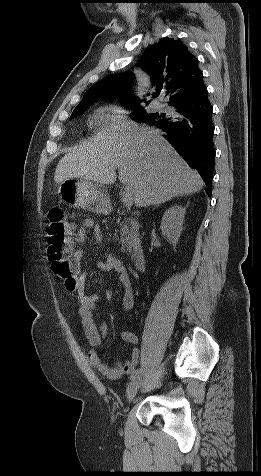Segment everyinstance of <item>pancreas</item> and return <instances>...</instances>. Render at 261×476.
<instances>
[{
  "mask_svg": "<svg viewBox=\"0 0 261 476\" xmlns=\"http://www.w3.org/2000/svg\"><path fill=\"white\" fill-rule=\"evenodd\" d=\"M120 234H121V243L122 251L128 253L132 252V249L139 243V224L132 218H125V220L120 223Z\"/></svg>",
  "mask_w": 261,
  "mask_h": 476,
  "instance_id": "cf45deb5",
  "label": "pancreas"
}]
</instances>
